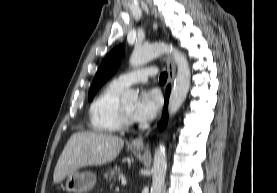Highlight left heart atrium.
I'll list each match as a JSON object with an SVG mask.
<instances>
[{
    "label": "left heart atrium",
    "instance_id": "left-heart-atrium-1",
    "mask_svg": "<svg viewBox=\"0 0 277 193\" xmlns=\"http://www.w3.org/2000/svg\"><path fill=\"white\" fill-rule=\"evenodd\" d=\"M161 106V97L154 90H146L140 94L135 105L132 116L138 122L152 120L158 113Z\"/></svg>",
    "mask_w": 277,
    "mask_h": 193
}]
</instances>
